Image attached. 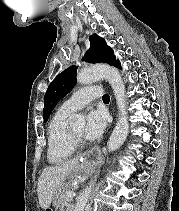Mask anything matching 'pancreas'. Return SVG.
I'll return each mask as SVG.
<instances>
[{
  "label": "pancreas",
  "instance_id": "obj_1",
  "mask_svg": "<svg viewBox=\"0 0 179 211\" xmlns=\"http://www.w3.org/2000/svg\"><path fill=\"white\" fill-rule=\"evenodd\" d=\"M70 191V188H63L61 192H59L56 195L55 201H54V206L58 209L59 211H64L65 206L67 205L68 202L72 200L71 197L68 196V192ZM67 211H71L70 209Z\"/></svg>",
  "mask_w": 179,
  "mask_h": 211
}]
</instances>
